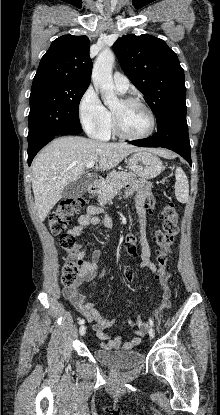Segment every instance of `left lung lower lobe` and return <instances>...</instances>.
Here are the masks:
<instances>
[{
    "mask_svg": "<svg viewBox=\"0 0 220 415\" xmlns=\"http://www.w3.org/2000/svg\"><path fill=\"white\" fill-rule=\"evenodd\" d=\"M130 144L140 147H164L181 155L187 162H191V147L188 136L186 110L178 111L157 125V133L149 138L134 140Z\"/></svg>",
    "mask_w": 220,
    "mask_h": 415,
    "instance_id": "left-lung-lower-lobe-1",
    "label": "left lung lower lobe"
}]
</instances>
